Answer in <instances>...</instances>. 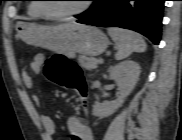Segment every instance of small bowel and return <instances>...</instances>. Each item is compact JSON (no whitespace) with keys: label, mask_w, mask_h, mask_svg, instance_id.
Returning a JSON list of instances; mask_svg holds the SVG:
<instances>
[{"label":"small bowel","mask_w":182,"mask_h":140,"mask_svg":"<svg viewBox=\"0 0 182 140\" xmlns=\"http://www.w3.org/2000/svg\"><path fill=\"white\" fill-rule=\"evenodd\" d=\"M44 62L45 57L42 54H37L29 65V71L23 72V81L28 88H31L33 85L31 74L40 73ZM32 100L35 105H40V98L37 95H34L32 97ZM40 122L46 134L47 140H53L54 134L56 132V125L54 120L50 116L42 114L40 116ZM67 128L72 138L78 137L79 140H94L90 128L83 124L77 117L68 118Z\"/></svg>","instance_id":"small-bowel-1"}]
</instances>
